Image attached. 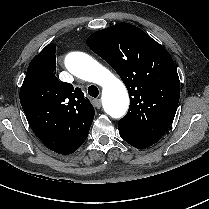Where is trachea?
<instances>
[{
    "instance_id": "3493384b",
    "label": "trachea",
    "mask_w": 209,
    "mask_h": 209,
    "mask_svg": "<svg viewBox=\"0 0 209 209\" xmlns=\"http://www.w3.org/2000/svg\"><path fill=\"white\" fill-rule=\"evenodd\" d=\"M88 94H89L91 97L96 98V97H98V95H99V90H98V88H97L96 86L91 85V86L88 87Z\"/></svg>"
}]
</instances>
